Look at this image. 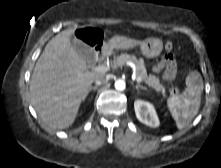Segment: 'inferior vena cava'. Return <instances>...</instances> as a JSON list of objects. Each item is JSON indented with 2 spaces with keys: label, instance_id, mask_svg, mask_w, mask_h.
Masks as SVG:
<instances>
[{
  "label": "inferior vena cava",
  "instance_id": "1",
  "mask_svg": "<svg viewBox=\"0 0 221 168\" xmlns=\"http://www.w3.org/2000/svg\"><path fill=\"white\" fill-rule=\"evenodd\" d=\"M107 81V77L104 74H100L96 77L95 83L96 85H101Z\"/></svg>",
  "mask_w": 221,
  "mask_h": 168
}]
</instances>
